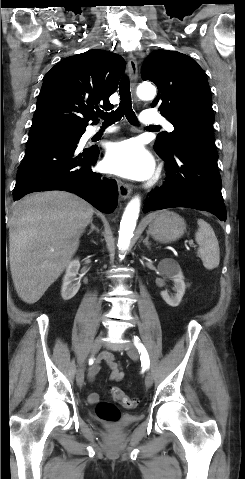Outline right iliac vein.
Listing matches in <instances>:
<instances>
[{
    "mask_svg": "<svg viewBox=\"0 0 245 479\" xmlns=\"http://www.w3.org/2000/svg\"><path fill=\"white\" fill-rule=\"evenodd\" d=\"M102 343H103V335H99L93 342L90 353L93 355L96 352H98V350L102 346ZM84 371H85V367H84V364H82L80 368L78 369L77 375H76V381L80 387L84 385Z\"/></svg>",
    "mask_w": 245,
    "mask_h": 479,
    "instance_id": "63e3f726",
    "label": "right iliac vein"
}]
</instances>
